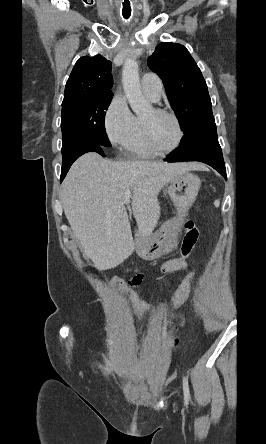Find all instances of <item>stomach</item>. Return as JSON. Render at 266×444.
Returning <instances> with one entry per match:
<instances>
[{
	"label": "stomach",
	"mask_w": 266,
	"mask_h": 444,
	"mask_svg": "<svg viewBox=\"0 0 266 444\" xmlns=\"http://www.w3.org/2000/svg\"><path fill=\"white\" fill-rule=\"evenodd\" d=\"M200 186L199 177L189 172L179 175L170 182L168 194L177 209V217L165 223L150 237L141 238L142 257L148 260L155 259L170 243L173 234L179 229L181 221L194 203Z\"/></svg>",
	"instance_id": "0dacf381"
}]
</instances>
